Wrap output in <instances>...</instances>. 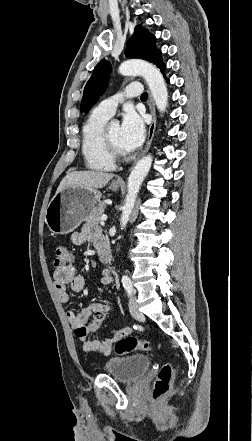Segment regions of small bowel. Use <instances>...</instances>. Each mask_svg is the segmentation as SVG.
Wrapping results in <instances>:
<instances>
[{
	"mask_svg": "<svg viewBox=\"0 0 252 441\" xmlns=\"http://www.w3.org/2000/svg\"><path fill=\"white\" fill-rule=\"evenodd\" d=\"M71 240L75 245H82L85 242L90 241L93 243L96 249L102 243H108L106 238L102 235L100 229L93 226H87L82 231L74 232L71 235ZM100 281L107 287H111L113 285V277L109 270L105 269L101 272ZM53 283L58 295V299L63 304L69 302V294L67 291L68 285L74 292H81L85 287L84 277L76 272L73 264L56 268L53 275ZM107 308H110V304L106 301L92 302L79 312L69 310L66 313V316L71 327L76 331L77 329L86 326L88 318L92 313ZM130 333L131 329L127 327L119 330L116 335L105 340H92L87 337L79 341L81 342L85 352L108 355L110 354L114 343L121 338L128 336Z\"/></svg>",
	"mask_w": 252,
	"mask_h": 441,
	"instance_id": "obj_1",
	"label": "small bowel"
}]
</instances>
